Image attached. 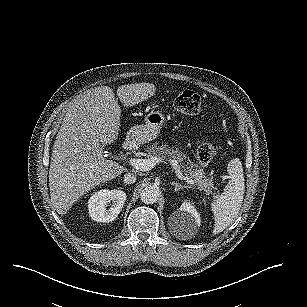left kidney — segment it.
<instances>
[{"label":"left kidney","instance_id":"obj_1","mask_svg":"<svg viewBox=\"0 0 307 307\" xmlns=\"http://www.w3.org/2000/svg\"><path fill=\"white\" fill-rule=\"evenodd\" d=\"M172 232L174 235L189 239L193 237L201 224L200 214L190 201H184L177 212L173 213Z\"/></svg>","mask_w":307,"mask_h":307}]
</instances>
